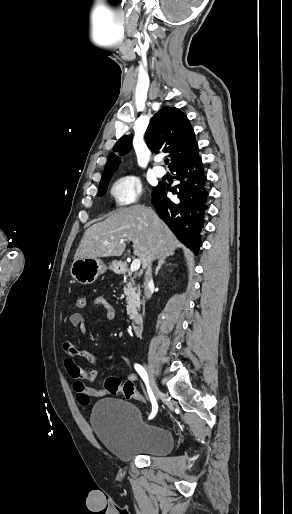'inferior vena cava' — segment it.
<instances>
[{
	"label": "inferior vena cava",
	"mask_w": 292,
	"mask_h": 514,
	"mask_svg": "<svg viewBox=\"0 0 292 514\" xmlns=\"http://www.w3.org/2000/svg\"><path fill=\"white\" fill-rule=\"evenodd\" d=\"M151 272H152V270H151V262H150V264L146 270V274H145L144 294H145V298H147V300H149V298H151V292L149 290V284H151V282H153Z\"/></svg>",
	"instance_id": "obj_1"
}]
</instances>
